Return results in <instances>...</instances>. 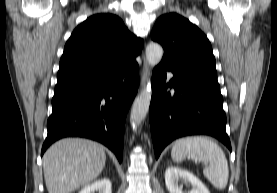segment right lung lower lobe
<instances>
[{
  "label": "right lung lower lobe",
  "mask_w": 277,
  "mask_h": 193,
  "mask_svg": "<svg viewBox=\"0 0 277 193\" xmlns=\"http://www.w3.org/2000/svg\"><path fill=\"white\" fill-rule=\"evenodd\" d=\"M138 85L135 60L99 76L57 84L41 155L61 138L85 137L103 143L121 162L126 115Z\"/></svg>",
  "instance_id": "obj_1"
}]
</instances>
